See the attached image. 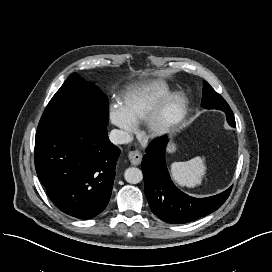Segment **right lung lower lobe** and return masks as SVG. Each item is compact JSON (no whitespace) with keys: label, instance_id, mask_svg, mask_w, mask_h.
<instances>
[{"label":"right lung lower lobe","instance_id":"obj_1","mask_svg":"<svg viewBox=\"0 0 272 272\" xmlns=\"http://www.w3.org/2000/svg\"><path fill=\"white\" fill-rule=\"evenodd\" d=\"M119 155L106 126L78 120L36 132L38 178L58 209L75 218L90 219L106 208Z\"/></svg>","mask_w":272,"mask_h":272}]
</instances>
